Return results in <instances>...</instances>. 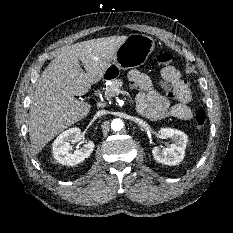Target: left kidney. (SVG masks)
I'll return each mask as SVG.
<instances>
[{
    "mask_svg": "<svg viewBox=\"0 0 233 233\" xmlns=\"http://www.w3.org/2000/svg\"><path fill=\"white\" fill-rule=\"evenodd\" d=\"M160 133L163 138H171L173 143L164 149L154 147L152 150L154 159L158 163L169 166L179 164L184 159L185 149L188 142L187 135L180 130L171 128H162Z\"/></svg>",
    "mask_w": 233,
    "mask_h": 233,
    "instance_id": "1",
    "label": "left kidney"
}]
</instances>
